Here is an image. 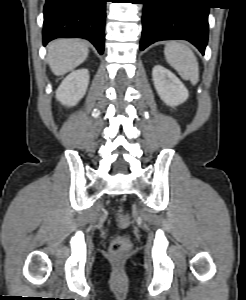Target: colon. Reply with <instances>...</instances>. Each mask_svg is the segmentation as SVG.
I'll use <instances>...</instances> for the list:
<instances>
[{"label": "colon", "mask_w": 246, "mask_h": 300, "mask_svg": "<svg viewBox=\"0 0 246 300\" xmlns=\"http://www.w3.org/2000/svg\"><path fill=\"white\" fill-rule=\"evenodd\" d=\"M117 224L120 228H127L130 224L129 216L118 212L116 215ZM131 249V241L127 236H119L110 244V253L113 259L120 260L127 256Z\"/></svg>", "instance_id": "1"}]
</instances>
